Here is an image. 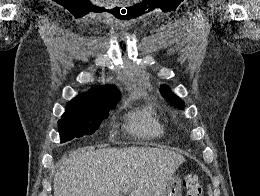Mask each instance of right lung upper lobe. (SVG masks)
<instances>
[{"instance_id": "cb5924a9", "label": "right lung upper lobe", "mask_w": 260, "mask_h": 196, "mask_svg": "<svg viewBox=\"0 0 260 196\" xmlns=\"http://www.w3.org/2000/svg\"><path fill=\"white\" fill-rule=\"evenodd\" d=\"M120 93L115 86H101L80 94L68 103L72 109H101L116 106Z\"/></svg>"}]
</instances>
